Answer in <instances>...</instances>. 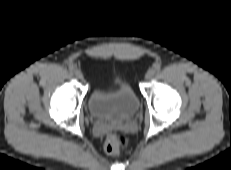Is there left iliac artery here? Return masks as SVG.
I'll return each mask as SVG.
<instances>
[{"label": "left iliac artery", "instance_id": "obj_1", "mask_svg": "<svg viewBox=\"0 0 231 170\" xmlns=\"http://www.w3.org/2000/svg\"><path fill=\"white\" fill-rule=\"evenodd\" d=\"M154 68H155L156 71H160L161 66H160L159 64H156V65L154 66Z\"/></svg>", "mask_w": 231, "mask_h": 170}]
</instances>
